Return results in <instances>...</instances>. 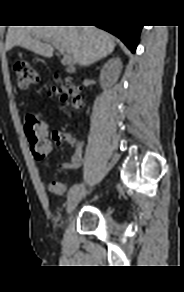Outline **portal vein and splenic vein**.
I'll list each match as a JSON object with an SVG mask.
<instances>
[{"label": "portal vein and splenic vein", "mask_w": 184, "mask_h": 292, "mask_svg": "<svg viewBox=\"0 0 184 292\" xmlns=\"http://www.w3.org/2000/svg\"><path fill=\"white\" fill-rule=\"evenodd\" d=\"M52 45L63 55V63L64 64L71 63L70 56L67 53H65L64 48L59 43L52 42Z\"/></svg>", "instance_id": "18ae733b"}]
</instances>
